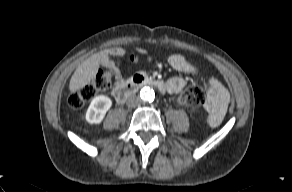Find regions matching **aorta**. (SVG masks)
<instances>
[{"label":"aorta","mask_w":292,"mask_h":192,"mask_svg":"<svg viewBox=\"0 0 292 192\" xmlns=\"http://www.w3.org/2000/svg\"><path fill=\"white\" fill-rule=\"evenodd\" d=\"M140 97L143 101L152 102L155 98V92L148 86H145L140 91Z\"/></svg>","instance_id":"1"}]
</instances>
